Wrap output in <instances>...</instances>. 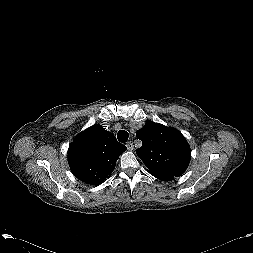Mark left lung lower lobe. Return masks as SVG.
<instances>
[{"label": "left lung lower lobe", "mask_w": 253, "mask_h": 253, "mask_svg": "<svg viewBox=\"0 0 253 253\" xmlns=\"http://www.w3.org/2000/svg\"><path fill=\"white\" fill-rule=\"evenodd\" d=\"M153 176L163 181H171L174 178L173 176L167 174H157Z\"/></svg>", "instance_id": "1"}]
</instances>
